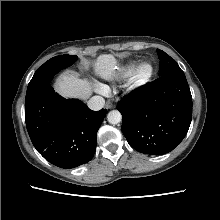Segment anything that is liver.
I'll return each mask as SVG.
<instances>
[{"label":"liver","mask_w":220,"mask_h":220,"mask_svg":"<svg viewBox=\"0 0 220 220\" xmlns=\"http://www.w3.org/2000/svg\"><path fill=\"white\" fill-rule=\"evenodd\" d=\"M117 60L113 55H100L94 63L95 75L112 79L116 75ZM55 90L65 98L87 99L92 91V83L86 79H80L73 74H62L55 83Z\"/></svg>","instance_id":"obj_1"}]
</instances>
